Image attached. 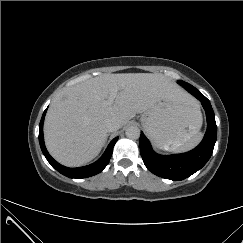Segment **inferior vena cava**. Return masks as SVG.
<instances>
[{
    "label": "inferior vena cava",
    "mask_w": 243,
    "mask_h": 243,
    "mask_svg": "<svg viewBox=\"0 0 243 243\" xmlns=\"http://www.w3.org/2000/svg\"><path fill=\"white\" fill-rule=\"evenodd\" d=\"M120 127V122L116 119H109L105 123V128L107 132L117 131Z\"/></svg>",
    "instance_id": "602c4592"
}]
</instances>
